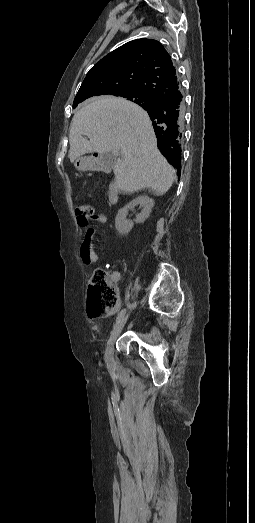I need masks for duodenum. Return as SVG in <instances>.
I'll return each instance as SVG.
<instances>
[{"instance_id":"obj_1","label":"duodenum","mask_w":255,"mask_h":523,"mask_svg":"<svg viewBox=\"0 0 255 523\" xmlns=\"http://www.w3.org/2000/svg\"><path fill=\"white\" fill-rule=\"evenodd\" d=\"M82 168L87 171L109 172L110 165L104 158L95 154L83 159ZM109 201L113 204L118 201V189L115 184L110 188Z\"/></svg>"}]
</instances>
